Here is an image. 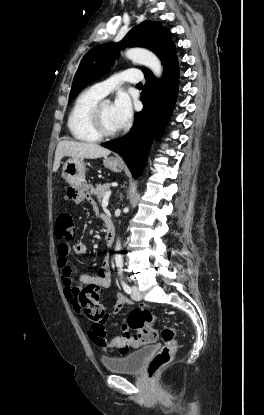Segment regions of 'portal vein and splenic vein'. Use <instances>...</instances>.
<instances>
[{"mask_svg": "<svg viewBox=\"0 0 264 415\" xmlns=\"http://www.w3.org/2000/svg\"><path fill=\"white\" fill-rule=\"evenodd\" d=\"M110 195H111V190L107 191V193L105 194V196L102 200V207L103 208H106L108 206Z\"/></svg>", "mask_w": 264, "mask_h": 415, "instance_id": "obj_1", "label": "portal vein and splenic vein"}]
</instances>
